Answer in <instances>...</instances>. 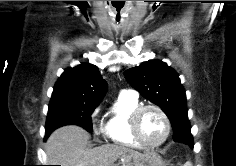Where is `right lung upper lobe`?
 <instances>
[{
    "label": "right lung upper lobe",
    "instance_id": "right-lung-upper-lobe-1",
    "mask_svg": "<svg viewBox=\"0 0 236 166\" xmlns=\"http://www.w3.org/2000/svg\"><path fill=\"white\" fill-rule=\"evenodd\" d=\"M106 89V81L98 67L84 63L68 68L61 74L54 86L51 101L74 100L98 105Z\"/></svg>",
    "mask_w": 236,
    "mask_h": 166
}]
</instances>
